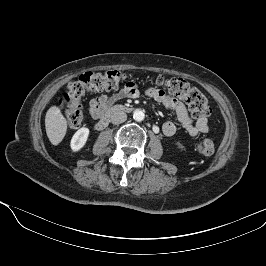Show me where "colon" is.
Returning a JSON list of instances; mask_svg holds the SVG:
<instances>
[{"mask_svg":"<svg viewBox=\"0 0 266 266\" xmlns=\"http://www.w3.org/2000/svg\"><path fill=\"white\" fill-rule=\"evenodd\" d=\"M126 80V74L119 70L104 72H85L69 83L67 91L61 96L60 104H65V118L69 128H78L83 121L82 98L91 92L116 90ZM155 84L170 95L184 100L195 116H207L210 112L206 96L187 81L180 78L159 76ZM196 150L203 156H211L215 143L211 138H204L196 145Z\"/></svg>","mask_w":266,"mask_h":266,"instance_id":"5ec220e1","label":"colon"}]
</instances>
